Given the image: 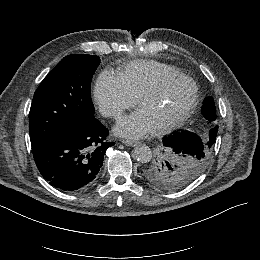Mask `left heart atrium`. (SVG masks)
I'll return each instance as SVG.
<instances>
[{
  "instance_id": "1",
  "label": "left heart atrium",
  "mask_w": 260,
  "mask_h": 260,
  "mask_svg": "<svg viewBox=\"0 0 260 260\" xmlns=\"http://www.w3.org/2000/svg\"><path fill=\"white\" fill-rule=\"evenodd\" d=\"M154 128L153 123L141 108L120 121L115 128L117 134L128 138L138 139L144 137Z\"/></svg>"
}]
</instances>
